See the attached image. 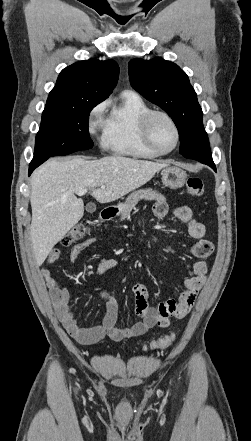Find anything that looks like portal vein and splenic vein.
<instances>
[{
    "mask_svg": "<svg viewBox=\"0 0 251 441\" xmlns=\"http://www.w3.org/2000/svg\"><path fill=\"white\" fill-rule=\"evenodd\" d=\"M101 189H105V186L102 185V186H101ZM86 193H87V189H84V190H80V191H78L76 194H77L78 196H83V195H85Z\"/></svg>",
    "mask_w": 251,
    "mask_h": 441,
    "instance_id": "1",
    "label": "portal vein and splenic vein"
}]
</instances>
